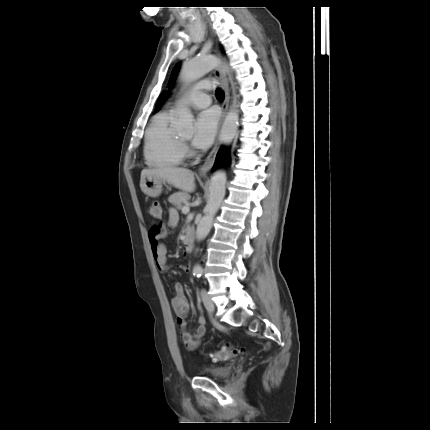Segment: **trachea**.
I'll return each mask as SVG.
<instances>
[{"instance_id":"3493384b","label":"trachea","mask_w":430,"mask_h":430,"mask_svg":"<svg viewBox=\"0 0 430 430\" xmlns=\"http://www.w3.org/2000/svg\"><path fill=\"white\" fill-rule=\"evenodd\" d=\"M216 97H217V99H219V100H223L224 99V92L221 90V89H217L216 90Z\"/></svg>"}]
</instances>
